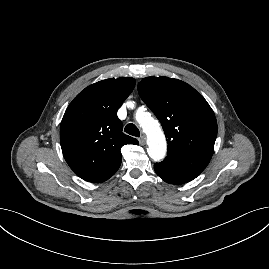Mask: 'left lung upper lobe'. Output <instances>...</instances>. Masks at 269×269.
Segmentation results:
<instances>
[{"instance_id":"1","label":"left lung upper lobe","mask_w":269,"mask_h":269,"mask_svg":"<svg viewBox=\"0 0 269 269\" xmlns=\"http://www.w3.org/2000/svg\"><path fill=\"white\" fill-rule=\"evenodd\" d=\"M144 103L162 124L168 153L211 159L217 136L215 114L187 83L168 77H147L138 84Z\"/></svg>"}]
</instances>
